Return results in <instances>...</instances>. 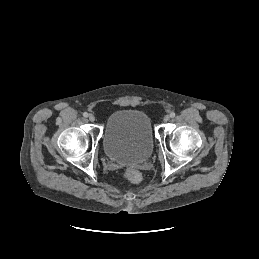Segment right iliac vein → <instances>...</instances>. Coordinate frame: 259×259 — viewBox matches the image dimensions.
<instances>
[{
	"label": "right iliac vein",
	"mask_w": 259,
	"mask_h": 259,
	"mask_svg": "<svg viewBox=\"0 0 259 259\" xmlns=\"http://www.w3.org/2000/svg\"><path fill=\"white\" fill-rule=\"evenodd\" d=\"M88 118H89V120H90L91 122H94V121H95V116H94L93 114H90V115L88 116Z\"/></svg>",
	"instance_id": "63e3f726"
}]
</instances>
